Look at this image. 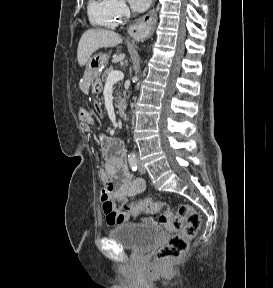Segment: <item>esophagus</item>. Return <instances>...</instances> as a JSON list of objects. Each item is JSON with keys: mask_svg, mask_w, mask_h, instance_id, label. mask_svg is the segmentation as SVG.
Here are the masks:
<instances>
[{"mask_svg": "<svg viewBox=\"0 0 273 288\" xmlns=\"http://www.w3.org/2000/svg\"><path fill=\"white\" fill-rule=\"evenodd\" d=\"M157 15L155 8L140 17L132 26H130L129 34L137 40L143 39L146 35L152 34L155 29Z\"/></svg>", "mask_w": 273, "mask_h": 288, "instance_id": "34e87169", "label": "esophagus"}]
</instances>
